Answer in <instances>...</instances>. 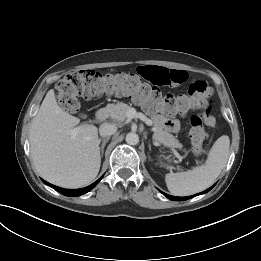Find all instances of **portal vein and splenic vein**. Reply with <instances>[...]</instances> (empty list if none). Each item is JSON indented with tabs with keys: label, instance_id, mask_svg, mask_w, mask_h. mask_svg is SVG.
I'll return each mask as SVG.
<instances>
[{
	"label": "portal vein and splenic vein",
	"instance_id": "portal-vein-and-splenic-vein-1",
	"mask_svg": "<svg viewBox=\"0 0 261 261\" xmlns=\"http://www.w3.org/2000/svg\"><path fill=\"white\" fill-rule=\"evenodd\" d=\"M127 117L130 118V119H133V118H139L140 120H142L143 122H145L147 125H152V121L147 118L143 113L141 112H136L135 108H130L127 112ZM76 129H74L72 132H75ZM174 154L179 157V154L177 151H173Z\"/></svg>",
	"mask_w": 261,
	"mask_h": 261
}]
</instances>
